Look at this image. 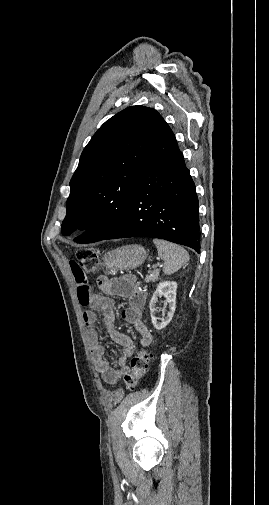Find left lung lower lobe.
Returning a JSON list of instances; mask_svg holds the SVG:
<instances>
[{
	"label": "left lung lower lobe",
	"instance_id": "obj_1",
	"mask_svg": "<svg viewBox=\"0 0 269 505\" xmlns=\"http://www.w3.org/2000/svg\"><path fill=\"white\" fill-rule=\"evenodd\" d=\"M198 211L195 184L175 136L164 121L130 195L124 218L103 239L161 238L199 253Z\"/></svg>",
	"mask_w": 269,
	"mask_h": 505
}]
</instances>
